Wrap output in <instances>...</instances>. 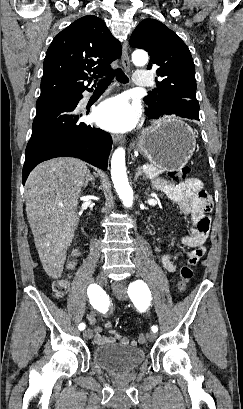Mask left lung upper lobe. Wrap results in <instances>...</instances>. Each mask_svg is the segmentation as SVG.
<instances>
[{"instance_id": "5c2ea615", "label": "left lung upper lobe", "mask_w": 243, "mask_h": 409, "mask_svg": "<svg viewBox=\"0 0 243 409\" xmlns=\"http://www.w3.org/2000/svg\"><path fill=\"white\" fill-rule=\"evenodd\" d=\"M130 45L149 53L147 69H156L162 78L156 83L157 88L144 97L147 112L163 116L181 105L199 111L195 65L189 48L176 33L158 20L144 19L132 33Z\"/></svg>"}]
</instances>
